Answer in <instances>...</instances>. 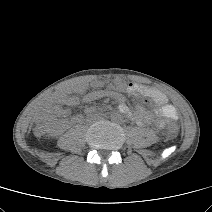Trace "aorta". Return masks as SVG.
Returning <instances> with one entry per match:
<instances>
[{
  "label": "aorta",
  "mask_w": 212,
  "mask_h": 212,
  "mask_svg": "<svg viewBox=\"0 0 212 212\" xmlns=\"http://www.w3.org/2000/svg\"><path fill=\"white\" fill-rule=\"evenodd\" d=\"M110 118L115 123H122L124 121V114L122 112L114 111L111 113Z\"/></svg>",
  "instance_id": "762f6f07"
}]
</instances>
